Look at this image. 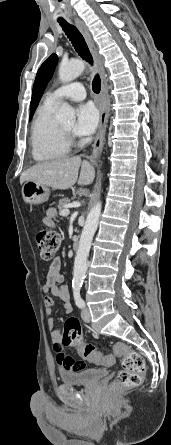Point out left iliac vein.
<instances>
[{"mask_svg": "<svg viewBox=\"0 0 171 445\" xmlns=\"http://www.w3.org/2000/svg\"><path fill=\"white\" fill-rule=\"evenodd\" d=\"M81 318L84 322L89 323L91 320L90 311L88 307H84L81 312Z\"/></svg>", "mask_w": 171, "mask_h": 445, "instance_id": "obj_1", "label": "left iliac vein"}]
</instances>
